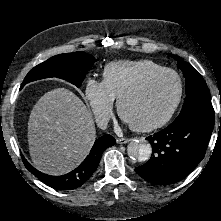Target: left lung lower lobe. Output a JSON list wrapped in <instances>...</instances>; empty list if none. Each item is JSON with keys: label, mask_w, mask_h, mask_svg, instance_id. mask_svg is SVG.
Here are the masks:
<instances>
[{"label": "left lung lower lobe", "mask_w": 221, "mask_h": 221, "mask_svg": "<svg viewBox=\"0 0 221 221\" xmlns=\"http://www.w3.org/2000/svg\"><path fill=\"white\" fill-rule=\"evenodd\" d=\"M214 122V110L202 108L175 119L165 129L146 138L152 145V157L135 171L158 185L184 179L204 158Z\"/></svg>", "instance_id": "1"}]
</instances>
